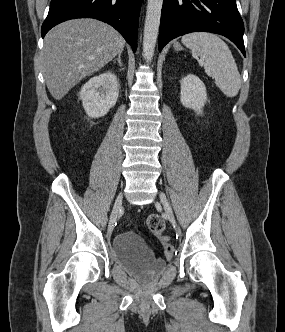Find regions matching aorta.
Returning a JSON list of instances; mask_svg holds the SVG:
<instances>
[{"instance_id": "1", "label": "aorta", "mask_w": 285, "mask_h": 332, "mask_svg": "<svg viewBox=\"0 0 285 332\" xmlns=\"http://www.w3.org/2000/svg\"><path fill=\"white\" fill-rule=\"evenodd\" d=\"M163 0H148L143 33V55L151 62L158 37Z\"/></svg>"}]
</instances>
